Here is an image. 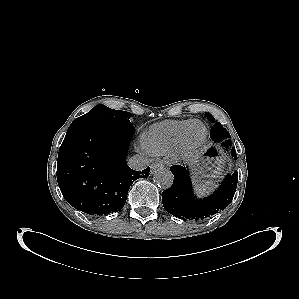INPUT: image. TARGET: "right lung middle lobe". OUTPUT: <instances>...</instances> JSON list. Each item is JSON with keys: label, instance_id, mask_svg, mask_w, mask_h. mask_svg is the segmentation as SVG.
Returning <instances> with one entry per match:
<instances>
[{"label": "right lung middle lobe", "instance_id": "dd1d6c3e", "mask_svg": "<svg viewBox=\"0 0 299 299\" xmlns=\"http://www.w3.org/2000/svg\"><path fill=\"white\" fill-rule=\"evenodd\" d=\"M130 113L114 110L104 105H97L87 114L76 118L69 130L78 128H96L104 126H129L132 125L130 120Z\"/></svg>", "mask_w": 299, "mask_h": 299}]
</instances>
